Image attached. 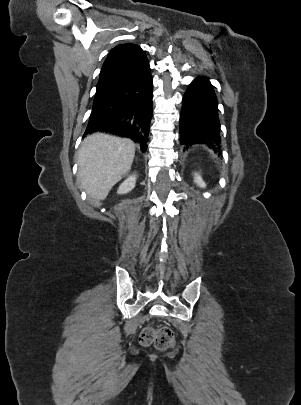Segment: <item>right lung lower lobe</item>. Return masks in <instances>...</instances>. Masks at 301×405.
I'll use <instances>...</instances> for the list:
<instances>
[{
	"instance_id": "obj_1",
	"label": "right lung lower lobe",
	"mask_w": 301,
	"mask_h": 405,
	"mask_svg": "<svg viewBox=\"0 0 301 405\" xmlns=\"http://www.w3.org/2000/svg\"><path fill=\"white\" fill-rule=\"evenodd\" d=\"M153 80L147 58L121 83L93 103L85 135L109 132L147 149L152 117Z\"/></svg>"
}]
</instances>
